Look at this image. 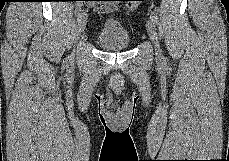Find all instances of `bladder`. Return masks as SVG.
I'll return each instance as SVG.
<instances>
[{
  "label": "bladder",
  "mask_w": 229,
  "mask_h": 161,
  "mask_svg": "<svg viewBox=\"0 0 229 161\" xmlns=\"http://www.w3.org/2000/svg\"><path fill=\"white\" fill-rule=\"evenodd\" d=\"M96 41L99 46L108 51H119L130 46V36L124 25L116 18H107L103 22Z\"/></svg>",
  "instance_id": "obj_1"
}]
</instances>
